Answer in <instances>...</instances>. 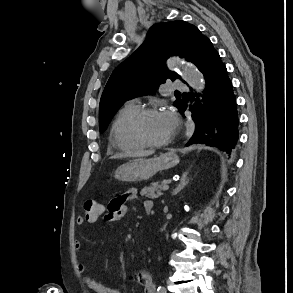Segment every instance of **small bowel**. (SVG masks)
Instances as JSON below:
<instances>
[{
  "instance_id": "small-bowel-1",
  "label": "small bowel",
  "mask_w": 293,
  "mask_h": 293,
  "mask_svg": "<svg viewBox=\"0 0 293 293\" xmlns=\"http://www.w3.org/2000/svg\"><path fill=\"white\" fill-rule=\"evenodd\" d=\"M138 198V191L137 189H129L128 191L124 192L123 194L113 198L108 206L107 210L104 214V219L107 222L115 223L122 221L128 211L127 203L134 199ZM144 210L146 212L147 209L153 210V203L149 200L144 202ZM77 224L82 225L83 219L78 218ZM76 250L82 249V242L76 241L75 242ZM87 271V266L84 264L79 265V272L81 274H85ZM138 282L142 286L143 293H155L156 288L155 284L152 279V275L148 271H140L138 273ZM87 285L95 292V293H122L120 289L112 288L97 282L92 278H86Z\"/></svg>"
}]
</instances>
